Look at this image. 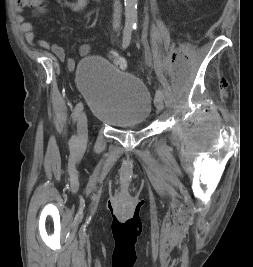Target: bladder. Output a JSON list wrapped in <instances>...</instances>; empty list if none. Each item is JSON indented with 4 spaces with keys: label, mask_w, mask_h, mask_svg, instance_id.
<instances>
[{
    "label": "bladder",
    "mask_w": 253,
    "mask_h": 267,
    "mask_svg": "<svg viewBox=\"0 0 253 267\" xmlns=\"http://www.w3.org/2000/svg\"><path fill=\"white\" fill-rule=\"evenodd\" d=\"M78 84L100 122L117 127L138 125L151 115L152 97L143 81L101 57L82 59Z\"/></svg>",
    "instance_id": "31cf9c89"
}]
</instances>
